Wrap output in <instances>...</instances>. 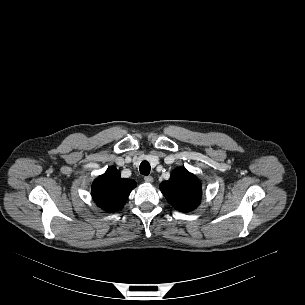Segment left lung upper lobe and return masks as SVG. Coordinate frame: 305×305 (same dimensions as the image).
Listing matches in <instances>:
<instances>
[{"instance_id":"obj_1","label":"left lung upper lobe","mask_w":305,"mask_h":305,"mask_svg":"<svg viewBox=\"0 0 305 305\" xmlns=\"http://www.w3.org/2000/svg\"><path fill=\"white\" fill-rule=\"evenodd\" d=\"M160 190L167 201L182 212L197 208L202 197L200 181L184 167L173 170L169 180L160 184Z\"/></svg>"}]
</instances>
